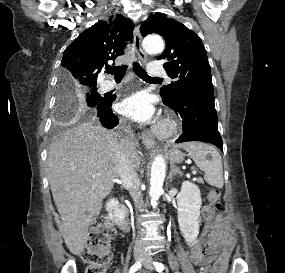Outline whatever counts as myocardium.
<instances>
[{
  "label": "myocardium",
  "instance_id": "myocardium-1",
  "mask_svg": "<svg viewBox=\"0 0 285 273\" xmlns=\"http://www.w3.org/2000/svg\"><path fill=\"white\" fill-rule=\"evenodd\" d=\"M178 131L176 120L167 116L161 119L153 129V135L158 139H168L174 136Z\"/></svg>",
  "mask_w": 285,
  "mask_h": 273
}]
</instances>
